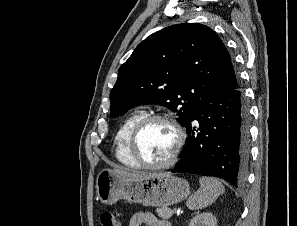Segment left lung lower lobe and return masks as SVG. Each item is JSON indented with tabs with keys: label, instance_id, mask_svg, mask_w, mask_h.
<instances>
[{
	"label": "left lung lower lobe",
	"instance_id": "obj_1",
	"mask_svg": "<svg viewBox=\"0 0 297 226\" xmlns=\"http://www.w3.org/2000/svg\"><path fill=\"white\" fill-rule=\"evenodd\" d=\"M194 120L199 122L197 127ZM184 127L188 138L171 172L215 176L235 187L245 182L249 109L240 86L205 91Z\"/></svg>",
	"mask_w": 297,
	"mask_h": 226
}]
</instances>
